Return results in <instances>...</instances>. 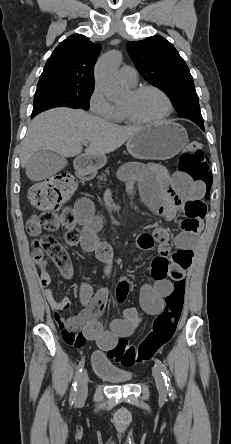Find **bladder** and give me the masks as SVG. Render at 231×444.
<instances>
[{"label":"bladder","instance_id":"31cf9c89","mask_svg":"<svg viewBox=\"0 0 231 444\" xmlns=\"http://www.w3.org/2000/svg\"><path fill=\"white\" fill-rule=\"evenodd\" d=\"M92 364L95 376L105 379L110 383H128L134 378V375L131 372L115 366L112 359L102 352H95L93 354Z\"/></svg>","mask_w":231,"mask_h":444}]
</instances>
